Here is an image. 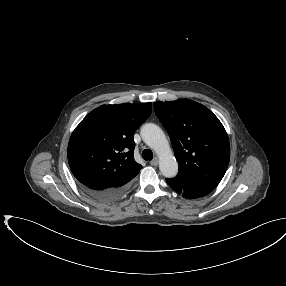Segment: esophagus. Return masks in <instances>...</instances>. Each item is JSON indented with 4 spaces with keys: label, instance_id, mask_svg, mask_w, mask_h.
<instances>
[{
    "label": "esophagus",
    "instance_id": "obj_1",
    "mask_svg": "<svg viewBox=\"0 0 286 286\" xmlns=\"http://www.w3.org/2000/svg\"><path fill=\"white\" fill-rule=\"evenodd\" d=\"M150 164L152 166H157L158 165V159L157 158H154L152 161H150Z\"/></svg>",
    "mask_w": 286,
    "mask_h": 286
}]
</instances>
